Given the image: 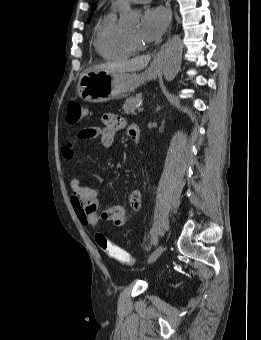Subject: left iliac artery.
I'll return each instance as SVG.
<instances>
[{
  "label": "left iliac artery",
  "mask_w": 261,
  "mask_h": 340,
  "mask_svg": "<svg viewBox=\"0 0 261 340\" xmlns=\"http://www.w3.org/2000/svg\"><path fill=\"white\" fill-rule=\"evenodd\" d=\"M159 243V237L157 234H152L151 236V244L153 245V247H156Z\"/></svg>",
  "instance_id": "1"
}]
</instances>
